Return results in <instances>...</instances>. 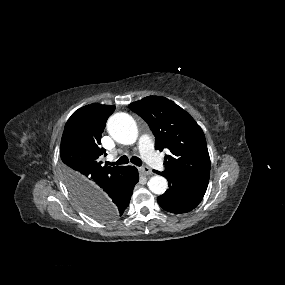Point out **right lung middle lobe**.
Instances as JSON below:
<instances>
[{"label":"right lung middle lobe","instance_id":"right-lung-middle-lobe-1","mask_svg":"<svg viewBox=\"0 0 285 285\" xmlns=\"http://www.w3.org/2000/svg\"><path fill=\"white\" fill-rule=\"evenodd\" d=\"M65 181L67 183L66 179H65ZM69 190L71 191L73 197L75 198V200L77 201L79 206L89 216H91V217H93V218H95L97 220H101V221L112 220V219L117 217V215L114 212H112V210L108 206H94L92 204H82V203H80L77 200L76 196L74 195L73 191L71 189H69Z\"/></svg>","mask_w":285,"mask_h":285}]
</instances>
